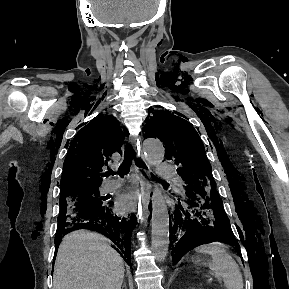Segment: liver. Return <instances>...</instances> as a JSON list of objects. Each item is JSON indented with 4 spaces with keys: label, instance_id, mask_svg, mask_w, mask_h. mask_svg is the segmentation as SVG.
<instances>
[{
    "label": "liver",
    "instance_id": "1",
    "mask_svg": "<svg viewBox=\"0 0 289 289\" xmlns=\"http://www.w3.org/2000/svg\"><path fill=\"white\" fill-rule=\"evenodd\" d=\"M124 272L122 257L104 236L77 230L58 248L53 289H121Z\"/></svg>",
    "mask_w": 289,
    "mask_h": 289
}]
</instances>
